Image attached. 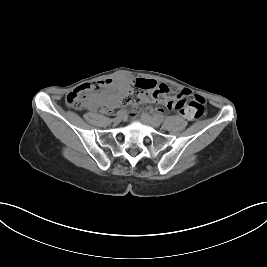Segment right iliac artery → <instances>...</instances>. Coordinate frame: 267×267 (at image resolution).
<instances>
[{
    "label": "right iliac artery",
    "instance_id": "obj_1",
    "mask_svg": "<svg viewBox=\"0 0 267 267\" xmlns=\"http://www.w3.org/2000/svg\"><path fill=\"white\" fill-rule=\"evenodd\" d=\"M125 113V110H120L117 112V115H123Z\"/></svg>",
    "mask_w": 267,
    "mask_h": 267
}]
</instances>
